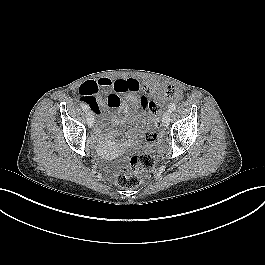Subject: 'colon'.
<instances>
[{
    "mask_svg": "<svg viewBox=\"0 0 265 265\" xmlns=\"http://www.w3.org/2000/svg\"><path fill=\"white\" fill-rule=\"evenodd\" d=\"M175 90L172 87L166 88L163 93V98L173 97ZM111 99L117 101L114 95L110 96ZM146 106H150L154 111L159 109V103L156 101H150L146 96L142 97ZM146 144L154 146L156 143V136L152 133H148L145 136ZM155 165V156L150 152H142L135 154L130 160V167L127 171L122 172L117 177V184L123 188H135L138 187L143 177L149 173Z\"/></svg>",
    "mask_w": 265,
    "mask_h": 265,
    "instance_id": "colon-1",
    "label": "colon"
}]
</instances>
